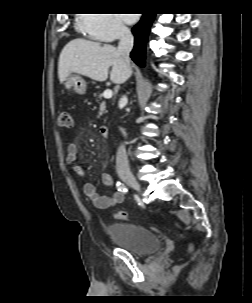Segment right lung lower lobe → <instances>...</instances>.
Segmentation results:
<instances>
[{
  "label": "right lung lower lobe",
  "instance_id": "98d812e1",
  "mask_svg": "<svg viewBox=\"0 0 252 303\" xmlns=\"http://www.w3.org/2000/svg\"><path fill=\"white\" fill-rule=\"evenodd\" d=\"M155 18V14L146 13L143 14L141 20L132 29V33L135 36L134 48L131 52V58L140 67H144L145 64V49L150 31L151 24Z\"/></svg>",
  "mask_w": 252,
  "mask_h": 303
}]
</instances>
